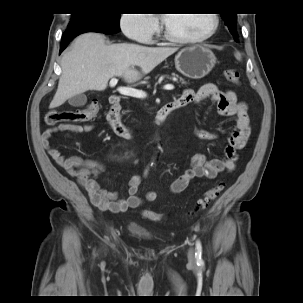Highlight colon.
<instances>
[{
    "label": "colon",
    "mask_w": 303,
    "mask_h": 303,
    "mask_svg": "<svg viewBox=\"0 0 303 303\" xmlns=\"http://www.w3.org/2000/svg\"><path fill=\"white\" fill-rule=\"evenodd\" d=\"M225 77L229 82L238 84L240 81V74L236 69L229 68L225 70ZM99 109L97 102H92L89 106L82 110L75 111H55L49 110L44 116V123L48 126H55L62 122H87L90 121ZM224 188L223 184L214 186L207 190V192L198 199L194 211H203L211 202H213ZM143 218L151 221H159L161 215L150 210L143 211Z\"/></svg>",
    "instance_id": "1"
}]
</instances>
